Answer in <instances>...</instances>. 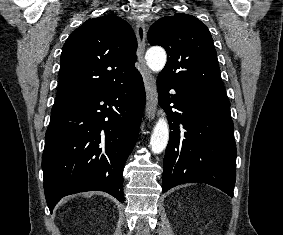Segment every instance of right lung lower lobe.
I'll return each instance as SVG.
<instances>
[{
    "label": "right lung lower lobe",
    "instance_id": "98d812e1",
    "mask_svg": "<svg viewBox=\"0 0 283 235\" xmlns=\"http://www.w3.org/2000/svg\"><path fill=\"white\" fill-rule=\"evenodd\" d=\"M145 106L140 73L66 104L54 114L42 156L45 197L52 212L65 195L99 190L124 201V164Z\"/></svg>",
    "mask_w": 283,
    "mask_h": 235
}]
</instances>
